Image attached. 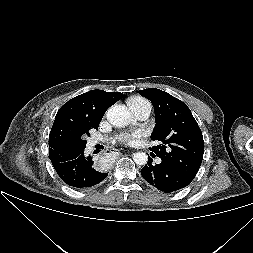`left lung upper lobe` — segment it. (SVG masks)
Wrapping results in <instances>:
<instances>
[{
    "instance_id": "5c2ea615",
    "label": "left lung upper lobe",
    "mask_w": 253,
    "mask_h": 253,
    "mask_svg": "<svg viewBox=\"0 0 253 253\" xmlns=\"http://www.w3.org/2000/svg\"><path fill=\"white\" fill-rule=\"evenodd\" d=\"M138 92L152 102L155 110L156 125L151 139L161 144L150 150L194 179L203 159L204 141L190 109L160 89Z\"/></svg>"
}]
</instances>
